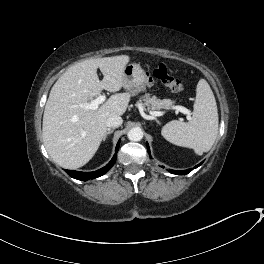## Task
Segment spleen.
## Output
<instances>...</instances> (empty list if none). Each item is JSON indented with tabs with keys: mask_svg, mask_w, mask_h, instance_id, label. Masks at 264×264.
I'll list each match as a JSON object with an SVG mask.
<instances>
[{
	"mask_svg": "<svg viewBox=\"0 0 264 264\" xmlns=\"http://www.w3.org/2000/svg\"><path fill=\"white\" fill-rule=\"evenodd\" d=\"M218 133V110L214 94L205 79L196 88L193 116L189 122L173 120L161 131L162 136L177 146L192 148L196 154L208 152Z\"/></svg>",
	"mask_w": 264,
	"mask_h": 264,
	"instance_id": "3e777b00",
	"label": "spleen"
}]
</instances>
